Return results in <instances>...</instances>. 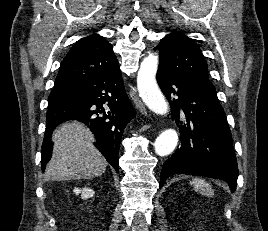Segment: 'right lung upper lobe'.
<instances>
[{"label": "right lung upper lobe", "mask_w": 268, "mask_h": 231, "mask_svg": "<svg viewBox=\"0 0 268 231\" xmlns=\"http://www.w3.org/2000/svg\"><path fill=\"white\" fill-rule=\"evenodd\" d=\"M116 63L118 61L112 44L97 34L84 37L77 41L65 56L55 80L54 89H78L105 73Z\"/></svg>", "instance_id": "1"}]
</instances>
